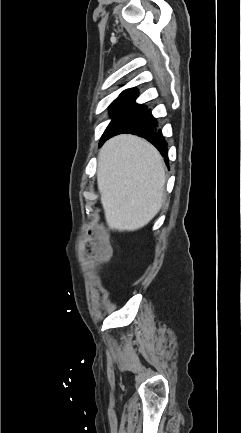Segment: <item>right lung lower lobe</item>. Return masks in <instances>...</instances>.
<instances>
[{"instance_id": "98d812e1", "label": "right lung lower lobe", "mask_w": 241, "mask_h": 433, "mask_svg": "<svg viewBox=\"0 0 241 433\" xmlns=\"http://www.w3.org/2000/svg\"><path fill=\"white\" fill-rule=\"evenodd\" d=\"M121 133H132L147 139L160 151L162 156L165 157V162L168 163L167 143L165 142L161 131L157 130V120L152 116L150 110H146L137 120H135L132 124H130L125 130L106 137L104 141ZM104 141L101 142L100 145L103 144Z\"/></svg>"}]
</instances>
